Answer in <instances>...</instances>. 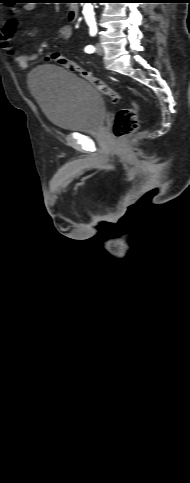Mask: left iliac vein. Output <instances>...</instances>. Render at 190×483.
I'll list each match as a JSON object with an SVG mask.
<instances>
[{
  "label": "left iliac vein",
  "mask_w": 190,
  "mask_h": 483,
  "mask_svg": "<svg viewBox=\"0 0 190 483\" xmlns=\"http://www.w3.org/2000/svg\"><path fill=\"white\" fill-rule=\"evenodd\" d=\"M96 52H97V54H99V55H103V53H104L103 47H102V45H101V44H99V43H98V44H96Z\"/></svg>",
  "instance_id": "1"
}]
</instances>
